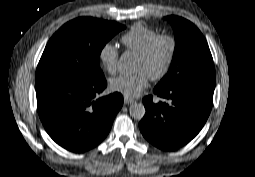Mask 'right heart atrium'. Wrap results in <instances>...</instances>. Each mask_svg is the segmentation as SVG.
<instances>
[{"instance_id":"d8ad5b80","label":"right heart atrium","mask_w":255,"mask_h":177,"mask_svg":"<svg viewBox=\"0 0 255 177\" xmlns=\"http://www.w3.org/2000/svg\"><path fill=\"white\" fill-rule=\"evenodd\" d=\"M98 56L105 70L109 74H115L119 56L117 47L113 43L107 42L101 46Z\"/></svg>"}]
</instances>
